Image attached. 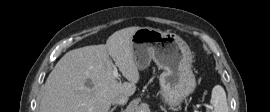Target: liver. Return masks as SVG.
I'll use <instances>...</instances> for the list:
<instances>
[{
  "mask_svg": "<svg viewBox=\"0 0 270 112\" xmlns=\"http://www.w3.org/2000/svg\"><path fill=\"white\" fill-rule=\"evenodd\" d=\"M140 28H124L106 44L67 52L45 82L40 112H109L113 98L132 96L139 81L132 36ZM110 57L129 82L114 78Z\"/></svg>",
  "mask_w": 270,
  "mask_h": 112,
  "instance_id": "6515ba94",
  "label": "liver"
}]
</instances>
